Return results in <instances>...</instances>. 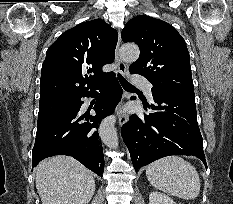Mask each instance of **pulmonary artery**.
<instances>
[{
  "mask_svg": "<svg viewBox=\"0 0 233 204\" xmlns=\"http://www.w3.org/2000/svg\"><path fill=\"white\" fill-rule=\"evenodd\" d=\"M132 80L134 83L138 84L143 88L147 97L152 98V91H151L152 85L146 78L142 76H134Z\"/></svg>",
  "mask_w": 233,
  "mask_h": 204,
  "instance_id": "pulmonary-artery-1",
  "label": "pulmonary artery"
}]
</instances>
